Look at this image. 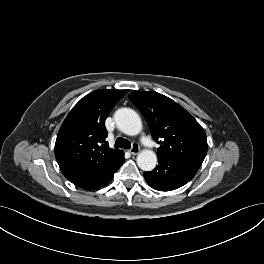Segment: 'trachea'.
I'll use <instances>...</instances> for the list:
<instances>
[{"label": "trachea", "instance_id": "3493384b", "mask_svg": "<svg viewBox=\"0 0 264 264\" xmlns=\"http://www.w3.org/2000/svg\"><path fill=\"white\" fill-rule=\"evenodd\" d=\"M115 147L116 148H125V149H130L131 148V143L127 139L123 137H118L115 141Z\"/></svg>", "mask_w": 264, "mask_h": 264}]
</instances>
